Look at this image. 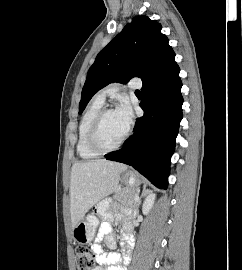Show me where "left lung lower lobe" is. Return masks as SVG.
Instances as JSON below:
<instances>
[{"label":"left lung lower lobe","instance_id":"0a47b994","mask_svg":"<svg viewBox=\"0 0 242 270\" xmlns=\"http://www.w3.org/2000/svg\"><path fill=\"white\" fill-rule=\"evenodd\" d=\"M179 71L172 59L143 81L140 107L144 115L136 120L134 134L124 148L105 155L132 166L160 189L168 186L170 158L182 119Z\"/></svg>","mask_w":242,"mask_h":270}]
</instances>
